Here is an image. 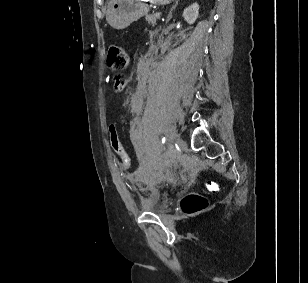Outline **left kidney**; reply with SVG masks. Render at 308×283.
Returning a JSON list of instances; mask_svg holds the SVG:
<instances>
[{"instance_id": "left-kidney-1", "label": "left kidney", "mask_w": 308, "mask_h": 283, "mask_svg": "<svg viewBox=\"0 0 308 283\" xmlns=\"http://www.w3.org/2000/svg\"><path fill=\"white\" fill-rule=\"evenodd\" d=\"M199 15V5L197 3H193L189 7H187L183 12V17L185 21L192 25L195 23L196 19Z\"/></svg>"}]
</instances>
